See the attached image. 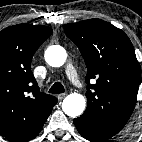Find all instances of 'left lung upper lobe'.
<instances>
[{
    "label": "left lung upper lobe",
    "instance_id": "1",
    "mask_svg": "<svg viewBox=\"0 0 142 142\" xmlns=\"http://www.w3.org/2000/svg\"><path fill=\"white\" fill-rule=\"evenodd\" d=\"M87 67V108L81 115L105 132L117 134L137 99L140 68L128 36L112 24L89 19L64 27ZM96 79L95 84H90Z\"/></svg>",
    "mask_w": 142,
    "mask_h": 142
}]
</instances>
